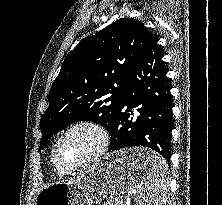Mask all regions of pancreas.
<instances>
[{
	"label": "pancreas",
	"mask_w": 222,
	"mask_h": 205,
	"mask_svg": "<svg viewBox=\"0 0 222 205\" xmlns=\"http://www.w3.org/2000/svg\"><path fill=\"white\" fill-rule=\"evenodd\" d=\"M103 205H124L120 199H109Z\"/></svg>",
	"instance_id": "pancreas-1"
}]
</instances>
